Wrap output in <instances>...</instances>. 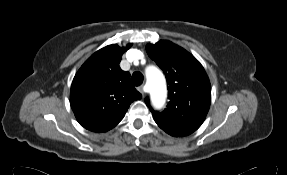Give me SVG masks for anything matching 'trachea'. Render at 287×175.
<instances>
[{
    "label": "trachea",
    "instance_id": "obj_1",
    "mask_svg": "<svg viewBox=\"0 0 287 175\" xmlns=\"http://www.w3.org/2000/svg\"><path fill=\"white\" fill-rule=\"evenodd\" d=\"M144 77L141 72H134L132 74V83L135 86H140L143 83Z\"/></svg>",
    "mask_w": 287,
    "mask_h": 175
}]
</instances>
